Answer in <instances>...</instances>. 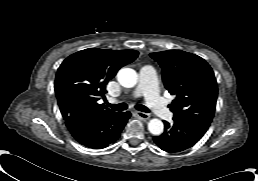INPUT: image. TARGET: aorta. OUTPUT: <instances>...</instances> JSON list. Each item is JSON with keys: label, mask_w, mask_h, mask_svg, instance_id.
Returning a JSON list of instances; mask_svg holds the SVG:
<instances>
[{"label": "aorta", "mask_w": 258, "mask_h": 181, "mask_svg": "<svg viewBox=\"0 0 258 181\" xmlns=\"http://www.w3.org/2000/svg\"><path fill=\"white\" fill-rule=\"evenodd\" d=\"M117 79L123 87L132 88L138 82V75L136 71L131 68H122L117 73ZM163 129V122L159 119H151L148 123V130L153 135H160Z\"/></svg>", "instance_id": "762f6f07"}]
</instances>
